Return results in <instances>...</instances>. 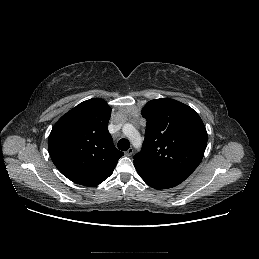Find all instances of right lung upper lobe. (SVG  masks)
I'll return each instance as SVG.
<instances>
[{
  "instance_id": "right-lung-upper-lobe-1",
  "label": "right lung upper lobe",
  "mask_w": 259,
  "mask_h": 259,
  "mask_svg": "<svg viewBox=\"0 0 259 259\" xmlns=\"http://www.w3.org/2000/svg\"><path fill=\"white\" fill-rule=\"evenodd\" d=\"M111 108L101 98L84 101L63 115L48 138L50 157L71 181L96 186L124 155L113 144L107 125Z\"/></svg>"
}]
</instances>
